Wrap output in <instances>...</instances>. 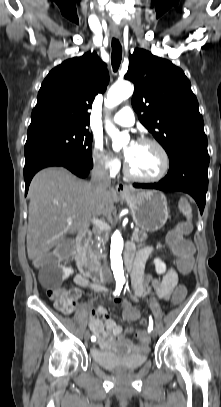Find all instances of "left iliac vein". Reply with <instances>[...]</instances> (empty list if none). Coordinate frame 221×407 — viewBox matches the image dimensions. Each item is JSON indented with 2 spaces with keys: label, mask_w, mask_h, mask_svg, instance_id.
Returning <instances> with one entry per match:
<instances>
[{
  "label": "left iliac vein",
  "mask_w": 221,
  "mask_h": 407,
  "mask_svg": "<svg viewBox=\"0 0 221 407\" xmlns=\"http://www.w3.org/2000/svg\"><path fill=\"white\" fill-rule=\"evenodd\" d=\"M151 335L153 336V337H155L156 335H157V333H156V330H152V332H151Z\"/></svg>",
  "instance_id": "4c4485c4"
}]
</instances>
